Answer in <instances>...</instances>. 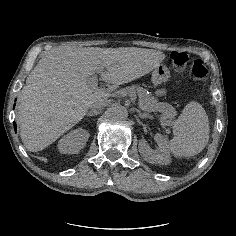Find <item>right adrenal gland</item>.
<instances>
[{
    "instance_id": "1",
    "label": "right adrenal gland",
    "mask_w": 236,
    "mask_h": 236,
    "mask_svg": "<svg viewBox=\"0 0 236 236\" xmlns=\"http://www.w3.org/2000/svg\"><path fill=\"white\" fill-rule=\"evenodd\" d=\"M99 112H100V110L92 109L90 112L87 113V117H89V116H94V115H98Z\"/></svg>"
}]
</instances>
